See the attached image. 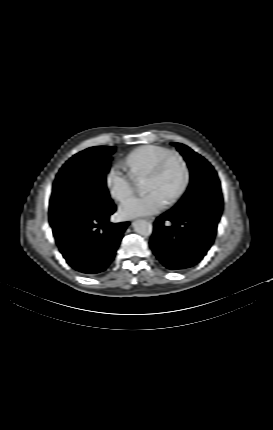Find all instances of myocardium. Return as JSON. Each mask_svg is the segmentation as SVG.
Instances as JSON below:
<instances>
[{
	"mask_svg": "<svg viewBox=\"0 0 273 430\" xmlns=\"http://www.w3.org/2000/svg\"><path fill=\"white\" fill-rule=\"evenodd\" d=\"M176 160L179 162V164L182 167L183 170V179L179 186V188L175 191V193L167 200L168 205H172L176 203L185 193L189 182H190V169L188 166V163L184 159V157L177 153L171 151L169 154H167L165 157H163L159 163L156 165V167L147 175V178H159L163 175L165 172L168 164Z\"/></svg>",
	"mask_w": 273,
	"mask_h": 430,
	"instance_id": "f54148a6",
	"label": "myocardium"
}]
</instances>
